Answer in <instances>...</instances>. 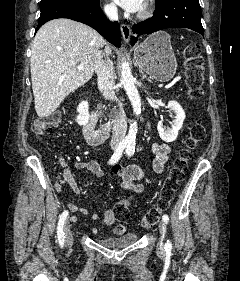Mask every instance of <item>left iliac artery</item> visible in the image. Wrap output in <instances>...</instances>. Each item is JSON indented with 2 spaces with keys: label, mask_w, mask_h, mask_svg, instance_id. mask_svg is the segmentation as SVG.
Listing matches in <instances>:
<instances>
[{
  "label": "left iliac artery",
  "mask_w": 240,
  "mask_h": 281,
  "mask_svg": "<svg viewBox=\"0 0 240 281\" xmlns=\"http://www.w3.org/2000/svg\"><path fill=\"white\" fill-rule=\"evenodd\" d=\"M134 152H135V143H129L127 145V149H126L127 155L130 157L134 154ZM162 219L165 223H168V221H169V217L166 214L163 215ZM171 248H172V244L168 240L167 243L165 244V250L170 251Z\"/></svg>",
  "instance_id": "obj_1"
}]
</instances>
